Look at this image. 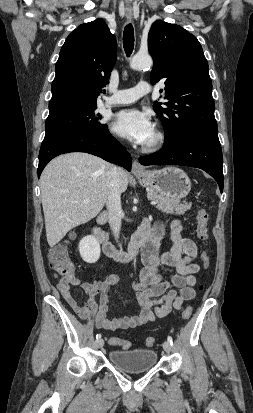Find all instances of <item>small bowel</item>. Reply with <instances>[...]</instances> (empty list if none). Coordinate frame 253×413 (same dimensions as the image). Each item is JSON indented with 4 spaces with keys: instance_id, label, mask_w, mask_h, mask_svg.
Wrapping results in <instances>:
<instances>
[{
    "instance_id": "small-bowel-1",
    "label": "small bowel",
    "mask_w": 253,
    "mask_h": 413,
    "mask_svg": "<svg viewBox=\"0 0 253 413\" xmlns=\"http://www.w3.org/2000/svg\"><path fill=\"white\" fill-rule=\"evenodd\" d=\"M152 230V239L142 249L143 267L139 280L132 284L138 291V314L113 319L108 317L109 291L119 281L118 276L114 274L102 281L82 282L75 275L72 265L73 274L59 279L57 287L60 294L81 319H92L96 327L103 330L136 328L165 317L173 309L180 310L184 302L195 298V274L200 270L199 264L195 262V243L189 238L182 237L181 223L174 220L171 223L170 234L172 246L170 250L159 255V243L164 235V227L157 223ZM163 267L175 270L169 280L163 279L160 272ZM71 286H80L86 293L87 299L83 305L72 295ZM97 294H100L99 304L95 301Z\"/></svg>"
}]
</instances>
